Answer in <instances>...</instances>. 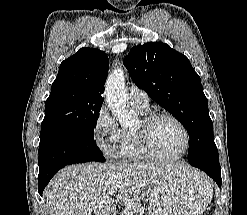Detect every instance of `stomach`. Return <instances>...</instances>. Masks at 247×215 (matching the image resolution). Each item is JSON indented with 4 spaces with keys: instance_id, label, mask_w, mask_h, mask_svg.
I'll list each match as a JSON object with an SVG mask.
<instances>
[{
    "instance_id": "obj_1",
    "label": "stomach",
    "mask_w": 247,
    "mask_h": 215,
    "mask_svg": "<svg viewBox=\"0 0 247 215\" xmlns=\"http://www.w3.org/2000/svg\"><path fill=\"white\" fill-rule=\"evenodd\" d=\"M212 197V188L200 172L183 168L174 172L149 198V215H201Z\"/></svg>"
}]
</instances>
